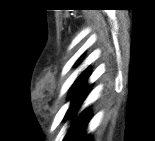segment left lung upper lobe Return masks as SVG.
<instances>
[{"mask_svg": "<svg viewBox=\"0 0 155 141\" xmlns=\"http://www.w3.org/2000/svg\"><path fill=\"white\" fill-rule=\"evenodd\" d=\"M89 76H90V69L88 67L75 80L74 84L72 85L70 89V94L68 97V100H71L70 107L88 88L87 81H88Z\"/></svg>", "mask_w": 155, "mask_h": 141, "instance_id": "1", "label": "left lung upper lobe"}]
</instances>
